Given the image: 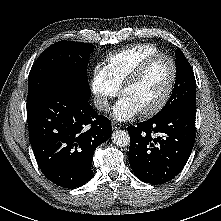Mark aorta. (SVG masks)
<instances>
[{"label":"aorta","mask_w":221,"mask_h":221,"mask_svg":"<svg viewBox=\"0 0 221 221\" xmlns=\"http://www.w3.org/2000/svg\"><path fill=\"white\" fill-rule=\"evenodd\" d=\"M112 142L119 147H125L130 143V136L124 130H117L112 134Z\"/></svg>","instance_id":"obj_1"}]
</instances>
